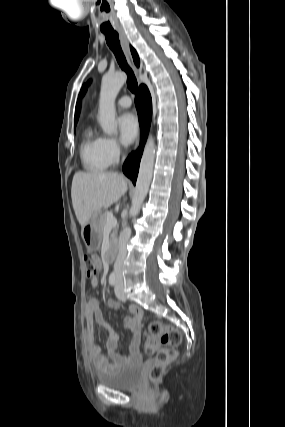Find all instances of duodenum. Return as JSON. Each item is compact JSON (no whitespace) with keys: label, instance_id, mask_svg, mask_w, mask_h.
Listing matches in <instances>:
<instances>
[{"label":"duodenum","instance_id":"obj_1","mask_svg":"<svg viewBox=\"0 0 285 427\" xmlns=\"http://www.w3.org/2000/svg\"><path fill=\"white\" fill-rule=\"evenodd\" d=\"M116 252H117V237L113 236L106 251V259L108 262L112 261L115 258Z\"/></svg>","mask_w":285,"mask_h":427}]
</instances>
